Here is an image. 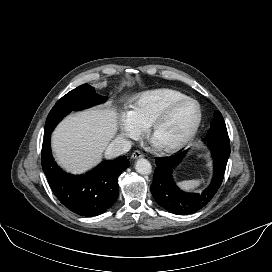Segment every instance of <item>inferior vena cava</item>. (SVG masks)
I'll return each mask as SVG.
<instances>
[{
    "instance_id": "obj_1",
    "label": "inferior vena cava",
    "mask_w": 272,
    "mask_h": 272,
    "mask_svg": "<svg viewBox=\"0 0 272 272\" xmlns=\"http://www.w3.org/2000/svg\"><path fill=\"white\" fill-rule=\"evenodd\" d=\"M131 149V142L118 136L105 149V157L107 159L116 158Z\"/></svg>"
}]
</instances>
